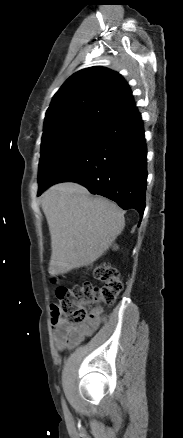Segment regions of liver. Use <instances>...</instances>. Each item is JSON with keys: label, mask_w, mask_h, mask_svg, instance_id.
I'll use <instances>...</instances> for the list:
<instances>
[{"label": "liver", "mask_w": 183, "mask_h": 438, "mask_svg": "<svg viewBox=\"0 0 183 438\" xmlns=\"http://www.w3.org/2000/svg\"><path fill=\"white\" fill-rule=\"evenodd\" d=\"M41 206L51 235L52 276L95 262L125 227L124 213L115 203L91 196L77 183L50 187Z\"/></svg>", "instance_id": "1"}]
</instances>
